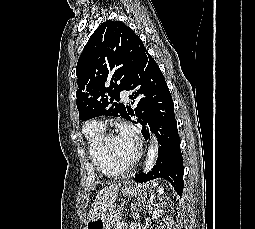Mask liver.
<instances>
[{"mask_svg":"<svg viewBox=\"0 0 255 229\" xmlns=\"http://www.w3.org/2000/svg\"><path fill=\"white\" fill-rule=\"evenodd\" d=\"M121 183H113L100 190L88 214V220L93 219L111 207L118 196Z\"/></svg>","mask_w":255,"mask_h":229,"instance_id":"liver-1","label":"liver"}]
</instances>
